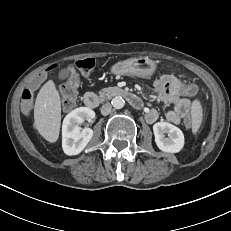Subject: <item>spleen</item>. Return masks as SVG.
Returning a JSON list of instances; mask_svg holds the SVG:
<instances>
[{
    "label": "spleen",
    "instance_id": "3e777b00",
    "mask_svg": "<svg viewBox=\"0 0 231 231\" xmlns=\"http://www.w3.org/2000/svg\"><path fill=\"white\" fill-rule=\"evenodd\" d=\"M191 114H192V131L193 133H196L200 128V125L202 123V117H203L202 107L199 101L193 102Z\"/></svg>",
    "mask_w": 231,
    "mask_h": 231
}]
</instances>
